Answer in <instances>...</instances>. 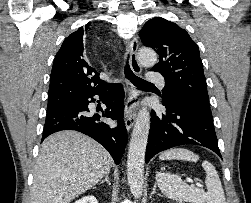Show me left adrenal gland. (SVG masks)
<instances>
[{
    "mask_svg": "<svg viewBox=\"0 0 251 203\" xmlns=\"http://www.w3.org/2000/svg\"><path fill=\"white\" fill-rule=\"evenodd\" d=\"M156 193V184L153 186V189H152V192H151V196L153 195V194H155ZM158 195H160V194H158Z\"/></svg>",
    "mask_w": 251,
    "mask_h": 203,
    "instance_id": "left-adrenal-gland-1",
    "label": "left adrenal gland"
}]
</instances>
